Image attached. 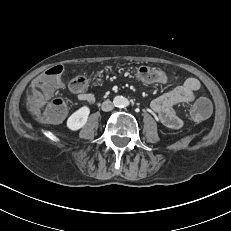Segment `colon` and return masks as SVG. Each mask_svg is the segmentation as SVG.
<instances>
[{"label": "colon", "instance_id": "1", "mask_svg": "<svg viewBox=\"0 0 231 231\" xmlns=\"http://www.w3.org/2000/svg\"><path fill=\"white\" fill-rule=\"evenodd\" d=\"M64 67L55 65L49 68L43 76H39L34 81L35 92L31 97V107L34 112L39 113V106L43 101V96H49L62 86L60 78ZM134 76L137 80L146 84H164L167 81V74L164 71L152 68L151 66L139 67ZM89 86V80L85 75H78L72 79L70 88L73 91H83ZM213 106L207 97L201 96L192 105L191 113L194 118L204 121L212 113ZM67 113V104L63 99H54L47 107L42 118L48 122H58Z\"/></svg>", "mask_w": 231, "mask_h": 231}]
</instances>
